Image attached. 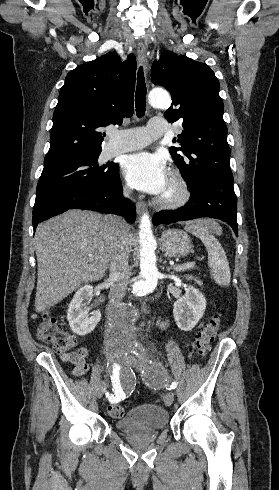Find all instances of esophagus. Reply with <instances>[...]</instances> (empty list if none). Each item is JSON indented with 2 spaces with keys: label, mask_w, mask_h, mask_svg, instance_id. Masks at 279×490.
<instances>
[{
  "label": "esophagus",
  "mask_w": 279,
  "mask_h": 490,
  "mask_svg": "<svg viewBox=\"0 0 279 490\" xmlns=\"http://www.w3.org/2000/svg\"><path fill=\"white\" fill-rule=\"evenodd\" d=\"M137 56L140 64L142 65L145 73L147 74L148 72V58H147V50L145 45L139 44L137 45ZM137 212L139 214L143 213L145 209V204L143 202L138 201L137 204Z\"/></svg>",
  "instance_id": "obj_1"
}]
</instances>
